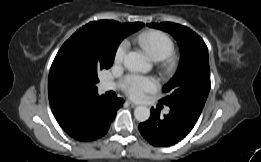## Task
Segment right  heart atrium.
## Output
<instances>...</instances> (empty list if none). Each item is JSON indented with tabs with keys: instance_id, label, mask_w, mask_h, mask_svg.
<instances>
[{
	"instance_id": "right-heart-atrium-1",
	"label": "right heart atrium",
	"mask_w": 261,
	"mask_h": 162,
	"mask_svg": "<svg viewBox=\"0 0 261 162\" xmlns=\"http://www.w3.org/2000/svg\"><path fill=\"white\" fill-rule=\"evenodd\" d=\"M126 52H127V43L123 42L119 45V47L115 52L114 62L116 64L122 63L125 58Z\"/></svg>"
}]
</instances>
